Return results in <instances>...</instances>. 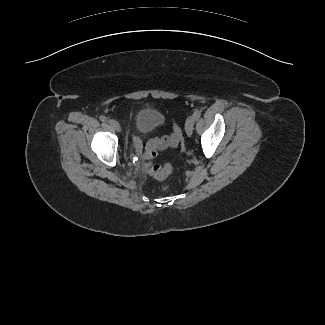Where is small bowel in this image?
Masks as SVG:
<instances>
[{"label":"small bowel","mask_w":325,"mask_h":325,"mask_svg":"<svg viewBox=\"0 0 325 325\" xmlns=\"http://www.w3.org/2000/svg\"><path fill=\"white\" fill-rule=\"evenodd\" d=\"M134 146L137 151H140L143 148L142 142L138 138L134 139Z\"/></svg>","instance_id":"obj_1"}]
</instances>
